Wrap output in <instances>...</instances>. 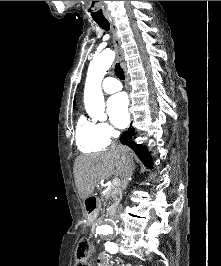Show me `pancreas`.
Returning a JSON list of instances; mask_svg holds the SVG:
<instances>
[{
  "mask_svg": "<svg viewBox=\"0 0 221 266\" xmlns=\"http://www.w3.org/2000/svg\"><path fill=\"white\" fill-rule=\"evenodd\" d=\"M119 194L120 189L118 187L110 186L109 188H106L104 191L101 192V198L104 203H107L111 205V208H114L119 201Z\"/></svg>",
  "mask_w": 221,
  "mask_h": 266,
  "instance_id": "1",
  "label": "pancreas"
}]
</instances>
